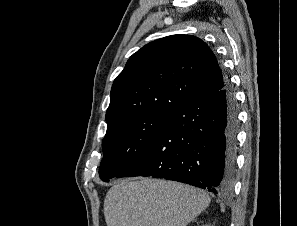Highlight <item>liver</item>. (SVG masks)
I'll list each match as a JSON object with an SVG mask.
<instances>
[{"label": "liver", "instance_id": "obj_1", "mask_svg": "<svg viewBox=\"0 0 297 226\" xmlns=\"http://www.w3.org/2000/svg\"><path fill=\"white\" fill-rule=\"evenodd\" d=\"M209 195L174 181L137 178L117 181L107 192V226H187L210 204Z\"/></svg>", "mask_w": 297, "mask_h": 226}]
</instances>
